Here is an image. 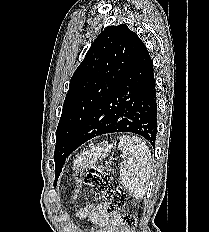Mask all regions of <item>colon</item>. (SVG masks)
Listing matches in <instances>:
<instances>
[{
    "mask_svg": "<svg viewBox=\"0 0 209 232\" xmlns=\"http://www.w3.org/2000/svg\"><path fill=\"white\" fill-rule=\"evenodd\" d=\"M84 182L107 201L108 213L113 219L122 222L128 229L136 225V218L124 211L126 196L110 173L99 166L94 167L86 173Z\"/></svg>",
    "mask_w": 209,
    "mask_h": 232,
    "instance_id": "1",
    "label": "colon"
}]
</instances>
